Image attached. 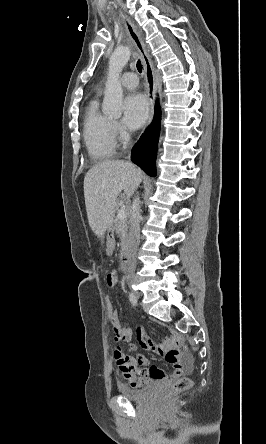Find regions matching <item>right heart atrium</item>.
<instances>
[{"instance_id":"obj_1","label":"right heart atrium","mask_w":266,"mask_h":444,"mask_svg":"<svg viewBox=\"0 0 266 444\" xmlns=\"http://www.w3.org/2000/svg\"><path fill=\"white\" fill-rule=\"evenodd\" d=\"M113 130H114V133H115V135L116 136H118V137H123V131H122V128H121V126L118 124V122H116V121H114L113 122Z\"/></svg>"}]
</instances>
